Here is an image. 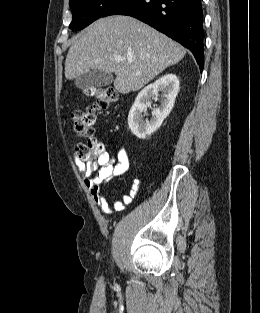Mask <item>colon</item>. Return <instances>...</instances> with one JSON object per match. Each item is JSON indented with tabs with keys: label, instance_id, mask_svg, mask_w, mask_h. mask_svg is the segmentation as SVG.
Segmentation results:
<instances>
[{
	"label": "colon",
	"instance_id": "1",
	"mask_svg": "<svg viewBox=\"0 0 260 313\" xmlns=\"http://www.w3.org/2000/svg\"><path fill=\"white\" fill-rule=\"evenodd\" d=\"M86 94L94 99L92 105L76 109L72 115L73 130L78 136L86 138L76 146L77 155L91 164L93 169L102 166L103 145L94 138L93 125L96 111L106 109L116 102L117 91L113 87H89Z\"/></svg>",
	"mask_w": 260,
	"mask_h": 313
}]
</instances>
